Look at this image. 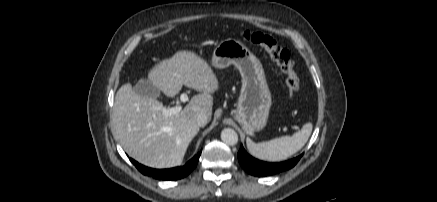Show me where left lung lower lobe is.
Listing matches in <instances>:
<instances>
[{
  "mask_svg": "<svg viewBox=\"0 0 437 202\" xmlns=\"http://www.w3.org/2000/svg\"><path fill=\"white\" fill-rule=\"evenodd\" d=\"M301 157L302 155L284 162L269 163L253 158L245 151L242 145L238 152V160L241 167L249 174L258 177L269 176L291 169Z\"/></svg>",
  "mask_w": 437,
  "mask_h": 202,
  "instance_id": "0a47b994",
  "label": "left lung lower lobe"
}]
</instances>
